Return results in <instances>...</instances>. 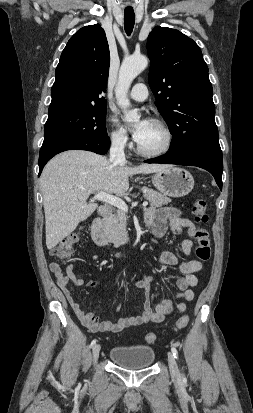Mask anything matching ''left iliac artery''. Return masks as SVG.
Returning a JSON list of instances; mask_svg holds the SVG:
<instances>
[{"label": "left iliac artery", "mask_w": 253, "mask_h": 413, "mask_svg": "<svg viewBox=\"0 0 253 413\" xmlns=\"http://www.w3.org/2000/svg\"><path fill=\"white\" fill-rule=\"evenodd\" d=\"M172 353L174 355L175 358H178V351L176 348L172 347ZM183 380H186L185 377L183 376Z\"/></svg>", "instance_id": "1"}]
</instances>
